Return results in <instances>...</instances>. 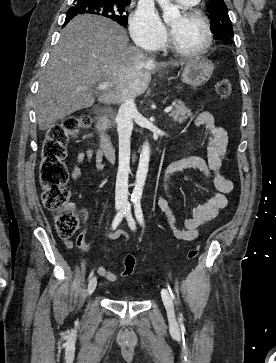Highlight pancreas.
I'll use <instances>...</instances> for the list:
<instances>
[{"instance_id": "cf45deb5", "label": "pancreas", "mask_w": 276, "mask_h": 363, "mask_svg": "<svg viewBox=\"0 0 276 363\" xmlns=\"http://www.w3.org/2000/svg\"><path fill=\"white\" fill-rule=\"evenodd\" d=\"M192 112L188 109L182 101H177L174 103V109L169 114L173 118L174 121L178 123H183L189 117H192Z\"/></svg>"}]
</instances>
